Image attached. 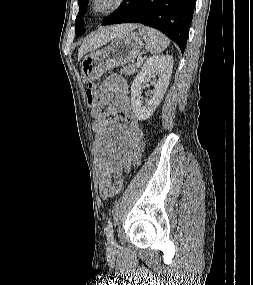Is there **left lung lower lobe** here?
I'll return each instance as SVG.
<instances>
[{"mask_svg": "<svg viewBox=\"0 0 253 285\" xmlns=\"http://www.w3.org/2000/svg\"><path fill=\"white\" fill-rule=\"evenodd\" d=\"M196 0H126L103 25L141 23L156 28L184 53Z\"/></svg>", "mask_w": 253, "mask_h": 285, "instance_id": "left-lung-lower-lobe-1", "label": "left lung lower lobe"}]
</instances>
